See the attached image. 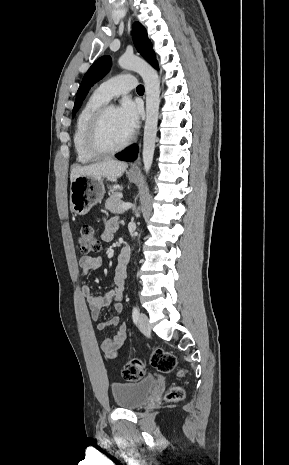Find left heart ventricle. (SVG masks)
I'll return each instance as SVG.
<instances>
[{
	"label": "left heart ventricle",
	"mask_w": 289,
	"mask_h": 465,
	"mask_svg": "<svg viewBox=\"0 0 289 465\" xmlns=\"http://www.w3.org/2000/svg\"><path fill=\"white\" fill-rule=\"evenodd\" d=\"M128 136L123 131L118 120L116 109L111 108L103 121L102 139L103 142L110 147L118 146L123 143Z\"/></svg>",
	"instance_id": "left-heart-ventricle-1"
}]
</instances>
